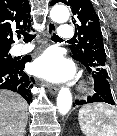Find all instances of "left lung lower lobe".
I'll return each mask as SVG.
<instances>
[{"label":"left lung lower lobe","instance_id":"1","mask_svg":"<svg viewBox=\"0 0 117 136\" xmlns=\"http://www.w3.org/2000/svg\"><path fill=\"white\" fill-rule=\"evenodd\" d=\"M87 71L92 75L94 79V94L89 96L87 100H77L74 103L76 105H83L86 103H93V102H105L111 105H114V100L111 94L110 83L109 79L93 74L90 70Z\"/></svg>","mask_w":117,"mask_h":136}]
</instances>
